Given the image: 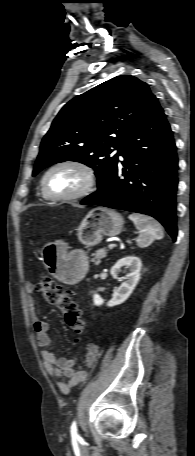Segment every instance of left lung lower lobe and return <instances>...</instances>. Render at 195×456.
<instances>
[{
  "label": "left lung lower lobe",
  "mask_w": 195,
  "mask_h": 456,
  "mask_svg": "<svg viewBox=\"0 0 195 456\" xmlns=\"http://www.w3.org/2000/svg\"><path fill=\"white\" fill-rule=\"evenodd\" d=\"M114 167L98 190L81 201L156 218L177 237L178 158L169 123L157 98L126 135Z\"/></svg>",
  "instance_id": "0a47b994"
}]
</instances>
